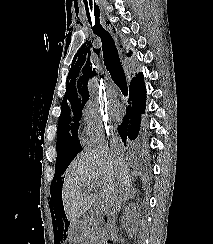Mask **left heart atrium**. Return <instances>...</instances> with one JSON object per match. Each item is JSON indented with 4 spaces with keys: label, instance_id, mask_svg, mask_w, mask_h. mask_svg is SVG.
<instances>
[{
    "label": "left heart atrium",
    "instance_id": "left-heart-atrium-1",
    "mask_svg": "<svg viewBox=\"0 0 213 244\" xmlns=\"http://www.w3.org/2000/svg\"><path fill=\"white\" fill-rule=\"evenodd\" d=\"M109 114L114 118L118 119L121 115V110L117 102L112 101L109 104Z\"/></svg>",
    "mask_w": 213,
    "mask_h": 244
}]
</instances>
